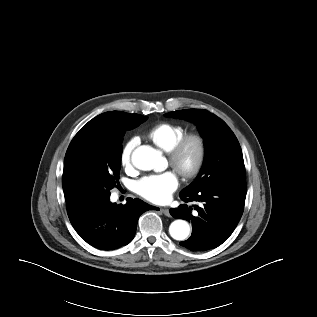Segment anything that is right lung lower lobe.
<instances>
[{
	"mask_svg": "<svg viewBox=\"0 0 317 317\" xmlns=\"http://www.w3.org/2000/svg\"><path fill=\"white\" fill-rule=\"evenodd\" d=\"M110 196L86 206L66 201L68 217L88 244L102 250L127 245L134 237L142 213L156 209L140 199L128 198L125 205L111 203Z\"/></svg>",
	"mask_w": 317,
	"mask_h": 317,
	"instance_id": "obj_1",
	"label": "right lung lower lobe"
}]
</instances>
